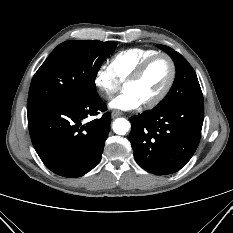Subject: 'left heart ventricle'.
<instances>
[{
    "mask_svg": "<svg viewBox=\"0 0 233 233\" xmlns=\"http://www.w3.org/2000/svg\"><path fill=\"white\" fill-rule=\"evenodd\" d=\"M170 73L168 60L158 58L149 65L137 82L126 85L124 90L134 93L141 103L148 102L161 93L169 80Z\"/></svg>",
    "mask_w": 233,
    "mask_h": 233,
    "instance_id": "obj_1",
    "label": "left heart ventricle"
}]
</instances>
